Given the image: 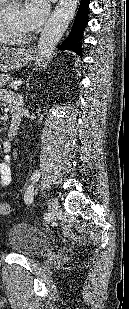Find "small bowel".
Returning <instances> with one entry per match:
<instances>
[{
	"label": "small bowel",
	"instance_id": "c3829d8e",
	"mask_svg": "<svg viewBox=\"0 0 129 309\" xmlns=\"http://www.w3.org/2000/svg\"><path fill=\"white\" fill-rule=\"evenodd\" d=\"M2 149L5 152H8L10 146L6 143L2 145ZM11 181V172L10 168L6 163H0V182L2 184H8Z\"/></svg>",
	"mask_w": 129,
	"mask_h": 309
}]
</instances>
